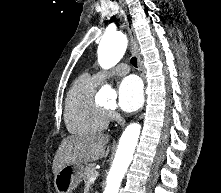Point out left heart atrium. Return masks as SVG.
<instances>
[{"label": "left heart atrium", "mask_w": 221, "mask_h": 193, "mask_svg": "<svg viewBox=\"0 0 221 193\" xmlns=\"http://www.w3.org/2000/svg\"><path fill=\"white\" fill-rule=\"evenodd\" d=\"M144 101V91L141 80L136 76L124 78L118 90V104L125 112L138 110Z\"/></svg>", "instance_id": "39dd6f15"}]
</instances>
